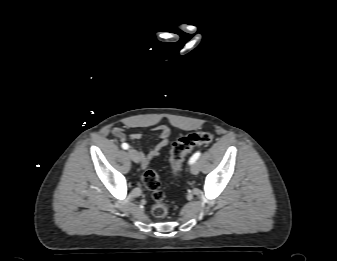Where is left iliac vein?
Here are the masks:
<instances>
[{
  "label": "left iliac vein",
  "mask_w": 337,
  "mask_h": 261,
  "mask_svg": "<svg viewBox=\"0 0 337 261\" xmlns=\"http://www.w3.org/2000/svg\"><path fill=\"white\" fill-rule=\"evenodd\" d=\"M190 172L194 175L198 174L199 172V166L197 163H193L191 166H190Z\"/></svg>",
  "instance_id": "4c4485c4"
}]
</instances>
